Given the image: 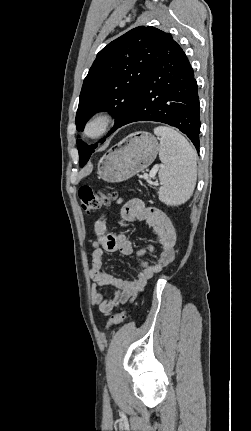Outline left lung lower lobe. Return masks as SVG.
Wrapping results in <instances>:
<instances>
[{
  "label": "left lung lower lobe",
  "instance_id": "0a47b994",
  "mask_svg": "<svg viewBox=\"0 0 251 431\" xmlns=\"http://www.w3.org/2000/svg\"><path fill=\"white\" fill-rule=\"evenodd\" d=\"M136 121L174 126L186 134L199 151L198 86L189 60L171 35L158 50L139 95L119 127Z\"/></svg>",
  "mask_w": 251,
  "mask_h": 431
}]
</instances>
